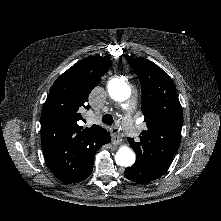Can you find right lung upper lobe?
<instances>
[{
    "label": "right lung upper lobe",
    "instance_id": "1",
    "mask_svg": "<svg viewBox=\"0 0 221 221\" xmlns=\"http://www.w3.org/2000/svg\"><path fill=\"white\" fill-rule=\"evenodd\" d=\"M111 66L108 57L89 56L64 72L53 84L41 114V141L52 173L70 184L110 134L98 125L83 128L80 111L89 109L88 96Z\"/></svg>",
    "mask_w": 221,
    "mask_h": 221
}]
</instances>
